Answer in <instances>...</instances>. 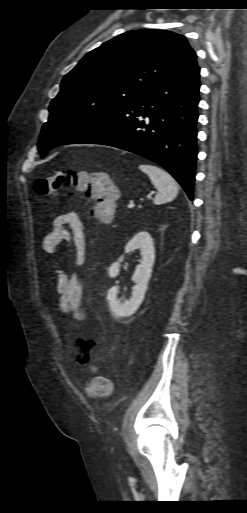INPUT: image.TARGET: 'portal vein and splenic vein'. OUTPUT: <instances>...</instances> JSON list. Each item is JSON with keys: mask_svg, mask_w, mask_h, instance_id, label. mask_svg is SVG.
Listing matches in <instances>:
<instances>
[{"mask_svg": "<svg viewBox=\"0 0 247 513\" xmlns=\"http://www.w3.org/2000/svg\"><path fill=\"white\" fill-rule=\"evenodd\" d=\"M127 207H128V209H132V208H134V204H128Z\"/></svg>", "mask_w": 247, "mask_h": 513, "instance_id": "18ae733b", "label": "portal vein and splenic vein"}]
</instances>
